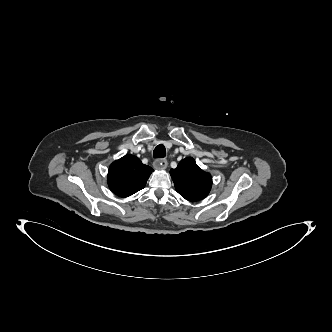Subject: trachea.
Instances as JSON below:
<instances>
[{"label":"trachea","mask_w":332,"mask_h":332,"mask_svg":"<svg viewBox=\"0 0 332 332\" xmlns=\"http://www.w3.org/2000/svg\"><path fill=\"white\" fill-rule=\"evenodd\" d=\"M153 156L155 158H163L166 156V149L163 144H159L153 151Z\"/></svg>","instance_id":"3493384b"}]
</instances>
